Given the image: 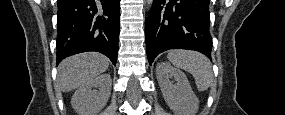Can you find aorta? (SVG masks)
I'll return each mask as SVG.
<instances>
[{
    "label": "aorta",
    "instance_id": "obj_1",
    "mask_svg": "<svg viewBox=\"0 0 285 115\" xmlns=\"http://www.w3.org/2000/svg\"><path fill=\"white\" fill-rule=\"evenodd\" d=\"M146 2H147V5L149 7H151L154 1L153 0H146Z\"/></svg>",
    "mask_w": 285,
    "mask_h": 115
}]
</instances>
